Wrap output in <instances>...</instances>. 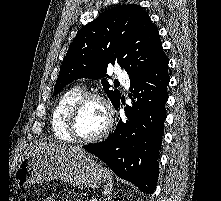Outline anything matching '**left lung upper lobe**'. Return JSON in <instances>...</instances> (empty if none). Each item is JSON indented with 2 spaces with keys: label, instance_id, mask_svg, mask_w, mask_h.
Instances as JSON below:
<instances>
[{
  "label": "left lung upper lobe",
  "instance_id": "1",
  "mask_svg": "<svg viewBox=\"0 0 221 201\" xmlns=\"http://www.w3.org/2000/svg\"><path fill=\"white\" fill-rule=\"evenodd\" d=\"M164 54L158 29L136 4L111 8L84 26L70 44L53 96L79 78L101 79L115 105L121 98L106 78L109 64L118 63L130 79L141 75Z\"/></svg>",
  "mask_w": 221,
  "mask_h": 201
}]
</instances>
